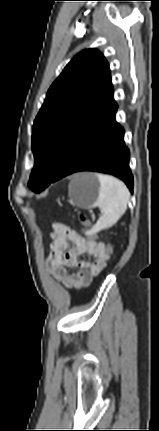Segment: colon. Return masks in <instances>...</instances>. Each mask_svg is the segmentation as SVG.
Wrapping results in <instances>:
<instances>
[{"label": "colon", "instance_id": "5ec220e1", "mask_svg": "<svg viewBox=\"0 0 159 431\" xmlns=\"http://www.w3.org/2000/svg\"><path fill=\"white\" fill-rule=\"evenodd\" d=\"M80 223L82 226V231L89 233L90 232V228L92 226V222L89 219H80ZM103 233L102 232H98L96 237H95V242H98L99 240L102 239ZM107 246V251L105 253H109L111 255V257L113 256V251L111 250V246L110 245H106Z\"/></svg>", "mask_w": 159, "mask_h": 431}]
</instances>
